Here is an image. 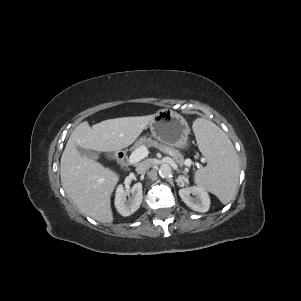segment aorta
I'll return each mask as SVG.
<instances>
[{
  "mask_svg": "<svg viewBox=\"0 0 301 301\" xmlns=\"http://www.w3.org/2000/svg\"><path fill=\"white\" fill-rule=\"evenodd\" d=\"M172 174V169L168 164H162L159 168V175L163 178L169 177Z\"/></svg>",
  "mask_w": 301,
  "mask_h": 301,
  "instance_id": "1",
  "label": "aorta"
}]
</instances>
